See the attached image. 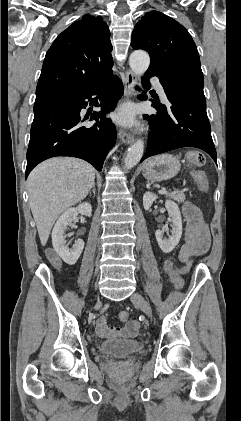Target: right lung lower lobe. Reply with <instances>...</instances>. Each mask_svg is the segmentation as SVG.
<instances>
[{
	"mask_svg": "<svg viewBox=\"0 0 241 421\" xmlns=\"http://www.w3.org/2000/svg\"><path fill=\"white\" fill-rule=\"evenodd\" d=\"M94 95L97 97L92 98ZM122 95L123 84L111 72L88 87L63 90L36 99L26 178L37 164L56 156L81 158L101 171L116 140L115 125L103 116L115 107ZM87 100L102 110L90 117V120H97L92 127L80 125L88 119L80 114L81 109L88 105Z\"/></svg>",
	"mask_w": 241,
	"mask_h": 421,
	"instance_id": "98d812e1",
	"label": "right lung lower lobe"
}]
</instances>
